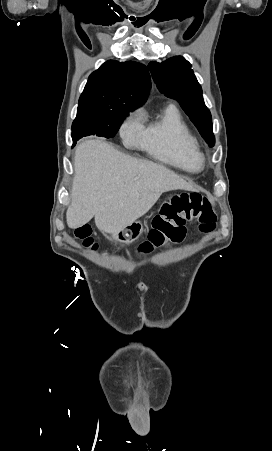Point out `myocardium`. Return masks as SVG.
Returning <instances> with one entry per match:
<instances>
[{"instance_id":"f54148a6","label":"myocardium","mask_w":272,"mask_h":451,"mask_svg":"<svg viewBox=\"0 0 272 451\" xmlns=\"http://www.w3.org/2000/svg\"><path fill=\"white\" fill-rule=\"evenodd\" d=\"M196 155H197V161L199 166L201 165V163L204 161V157L203 154L200 153L198 150L196 151ZM107 195H108V191H107Z\"/></svg>"}]
</instances>
